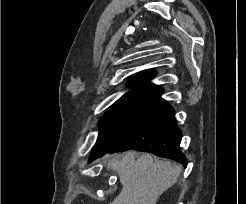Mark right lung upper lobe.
I'll list each match as a JSON object with an SVG mask.
<instances>
[{"label":"right lung upper lobe","instance_id":"obj_1","mask_svg":"<svg viewBox=\"0 0 246 204\" xmlns=\"http://www.w3.org/2000/svg\"><path fill=\"white\" fill-rule=\"evenodd\" d=\"M154 75L155 72L153 70H145L130 77L127 85L135 87L124 94L118 101L135 102L158 90L160 86L148 82Z\"/></svg>","mask_w":246,"mask_h":204}]
</instances>
